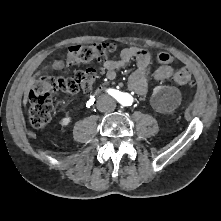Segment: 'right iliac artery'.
<instances>
[{"mask_svg":"<svg viewBox=\"0 0 221 221\" xmlns=\"http://www.w3.org/2000/svg\"><path fill=\"white\" fill-rule=\"evenodd\" d=\"M108 93L111 94V95H114V94H116V90L110 89V90H108Z\"/></svg>","mask_w":221,"mask_h":221,"instance_id":"obj_1","label":"right iliac artery"}]
</instances>
